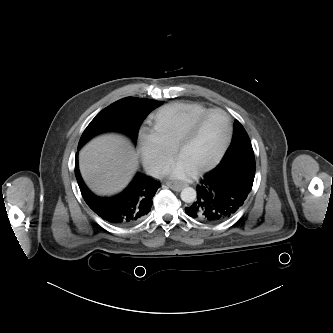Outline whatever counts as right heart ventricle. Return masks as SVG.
Instances as JSON below:
<instances>
[{
    "label": "right heart ventricle",
    "mask_w": 333,
    "mask_h": 333,
    "mask_svg": "<svg viewBox=\"0 0 333 333\" xmlns=\"http://www.w3.org/2000/svg\"><path fill=\"white\" fill-rule=\"evenodd\" d=\"M209 108L196 102H174L160 108L152 117V130L169 147L175 142L186 127Z\"/></svg>",
    "instance_id": "right-heart-ventricle-1"
}]
</instances>
